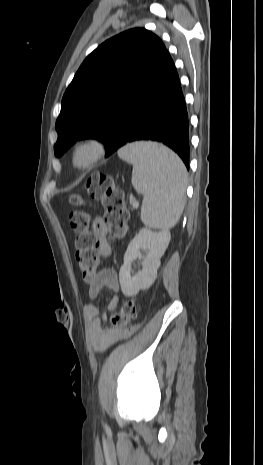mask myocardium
<instances>
[{"label": "myocardium", "mask_w": 263, "mask_h": 465, "mask_svg": "<svg viewBox=\"0 0 263 465\" xmlns=\"http://www.w3.org/2000/svg\"><path fill=\"white\" fill-rule=\"evenodd\" d=\"M84 148L91 150V155L86 162L78 164L76 161L77 153ZM107 152V144L105 140L96 135H89L76 140L70 150V161L72 166L80 171H86L93 168L100 160H102Z\"/></svg>", "instance_id": "1"}]
</instances>
